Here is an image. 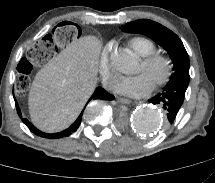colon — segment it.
<instances>
[{"label": "colon", "instance_id": "obj_1", "mask_svg": "<svg viewBox=\"0 0 215 183\" xmlns=\"http://www.w3.org/2000/svg\"><path fill=\"white\" fill-rule=\"evenodd\" d=\"M83 36V26L77 20H67L54 28L51 35L34 43L27 56L17 63L19 76L14 81V90L20 96H29L35 90L34 77L38 65L49 61L58 50L72 42L79 41Z\"/></svg>", "mask_w": 215, "mask_h": 183}]
</instances>
